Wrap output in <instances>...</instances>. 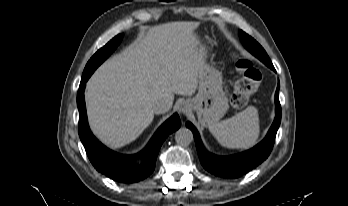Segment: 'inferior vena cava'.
Here are the masks:
<instances>
[{
  "mask_svg": "<svg viewBox=\"0 0 348 206\" xmlns=\"http://www.w3.org/2000/svg\"><path fill=\"white\" fill-rule=\"evenodd\" d=\"M168 111H169V107L166 104H158L153 109V112L156 115L165 114Z\"/></svg>",
  "mask_w": 348,
  "mask_h": 206,
  "instance_id": "602c4592",
  "label": "inferior vena cava"
}]
</instances>
